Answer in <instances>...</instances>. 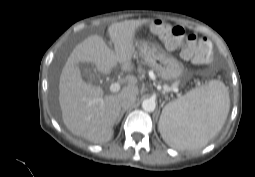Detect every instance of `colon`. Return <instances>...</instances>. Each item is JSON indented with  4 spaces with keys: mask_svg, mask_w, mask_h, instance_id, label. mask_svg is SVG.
Returning a JSON list of instances; mask_svg holds the SVG:
<instances>
[{
    "mask_svg": "<svg viewBox=\"0 0 255 177\" xmlns=\"http://www.w3.org/2000/svg\"><path fill=\"white\" fill-rule=\"evenodd\" d=\"M153 30L168 49H179L182 58L195 64H207L212 61V47L208 40H198L195 34L185 35L181 26L162 21L156 22Z\"/></svg>",
    "mask_w": 255,
    "mask_h": 177,
    "instance_id": "1",
    "label": "colon"
}]
</instances>
